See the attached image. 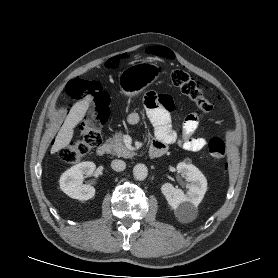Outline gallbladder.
<instances>
[{
    "instance_id": "obj_1",
    "label": "gallbladder",
    "mask_w": 278,
    "mask_h": 278,
    "mask_svg": "<svg viewBox=\"0 0 278 278\" xmlns=\"http://www.w3.org/2000/svg\"><path fill=\"white\" fill-rule=\"evenodd\" d=\"M88 119H87V121L89 122V123H92L94 120H95V118H96V111H95V106H91L90 108H89V111H88Z\"/></svg>"
}]
</instances>
